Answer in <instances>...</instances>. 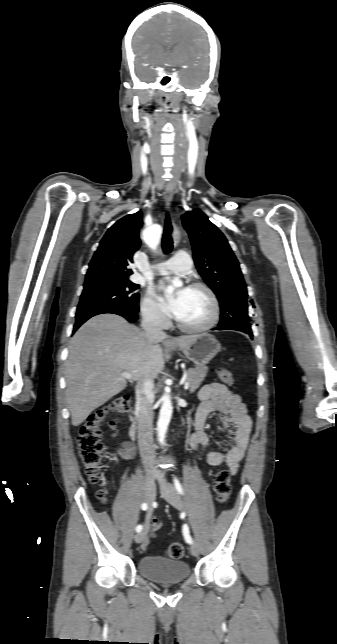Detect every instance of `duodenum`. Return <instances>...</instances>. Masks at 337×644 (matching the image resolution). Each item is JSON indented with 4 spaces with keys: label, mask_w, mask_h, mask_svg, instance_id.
<instances>
[{
    "label": "duodenum",
    "mask_w": 337,
    "mask_h": 644,
    "mask_svg": "<svg viewBox=\"0 0 337 644\" xmlns=\"http://www.w3.org/2000/svg\"><path fill=\"white\" fill-rule=\"evenodd\" d=\"M137 429H138V416H135L134 420H133V423H132V425L130 427V430H129V435H130L132 440H134L136 438Z\"/></svg>",
    "instance_id": "duodenum-1"
}]
</instances>
